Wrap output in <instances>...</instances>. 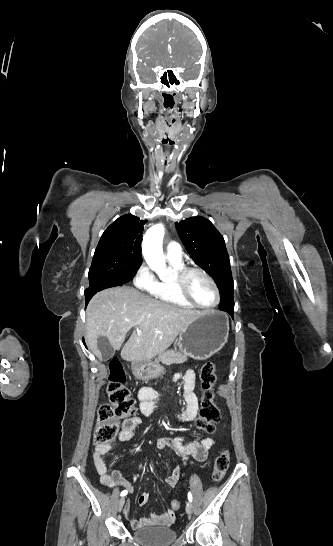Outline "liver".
I'll list each match as a JSON object with an SVG mask.
<instances>
[{
    "label": "liver",
    "instance_id": "liver-1",
    "mask_svg": "<svg viewBox=\"0 0 333 546\" xmlns=\"http://www.w3.org/2000/svg\"><path fill=\"white\" fill-rule=\"evenodd\" d=\"M203 315L200 311L181 309L143 294L129 286L114 287L96 293L86 311V344L101 360L97 342L107 337L114 349H120L127 333L134 332L121 350L129 362L151 361L174 342L180 331Z\"/></svg>",
    "mask_w": 333,
    "mask_h": 546
}]
</instances>
